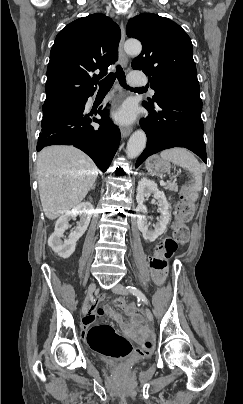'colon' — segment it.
Wrapping results in <instances>:
<instances>
[{
    "mask_svg": "<svg viewBox=\"0 0 243 404\" xmlns=\"http://www.w3.org/2000/svg\"><path fill=\"white\" fill-rule=\"evenodd\" d=\"M192 212L193 204L186 196H183L177 206L175 220L172 224L173 236L164 239L157 245L150 261L151 275L157 285H163L167 279L168 258L178 250L180 244L185 243L188 239L186 223ZM114 304L127 313L133 312L132 307L122 299H116ZM87 341L94 351L106 357L125 358L132 351L130 342L107 323L91 327L87 332ZM152 348L153 341L146 340L141 344L139 351L141 354L149 355Z\"/></svg>",
    "mask_w": 243,
    "mask_h": 404,
    "instance_id": "1",
    "label": "colon"
}]
</instances>
